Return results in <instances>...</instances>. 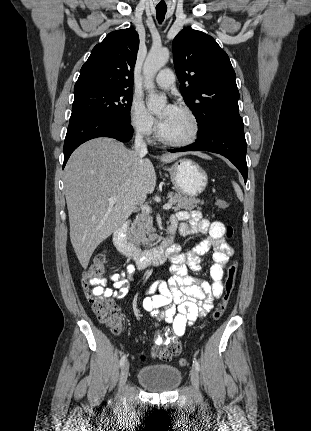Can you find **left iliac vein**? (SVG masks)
Returning a JSON list of instances; mask_svg holds the SVG:
<instances>
[{"label": "left iliac vein", "instance_id": "left-iliac-vein-1", "mask_svg": "<svg viewBox=\"0 0 311 431\" xmlns=\"http://www.w3.org/2000/svg\"><path fill=\"white\" fill-rule=\"evenodd\" d=\"M190 377H191V382L193 387L195 388L196 391L199 390V375H198V371L196 370L195 367H192L191 371H190Z\"/></svg>", "mask_w": 311, "mask_h": 431}]
</instances>
